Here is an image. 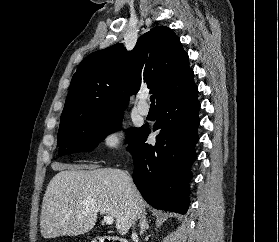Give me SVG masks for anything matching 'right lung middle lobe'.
Returning <instances> with one entry per match:
<instances>
[{"label":"right lung middle lobe","mask_w":279,"mask_h":242,"mask_svg":"<svg viewBox=\"0 0 279 242\" xmlns=\"http://www.w3.org/2000/svg\"><path fill=\"white\" fill-rule=\"evenodd\" d=\"M123 113L107 118H90L59 127V156L74 152H90L108 134L121 126ZM141 128L128 130V143H131Z\"/></svg>","instance_id":"1"}]
</instances>
